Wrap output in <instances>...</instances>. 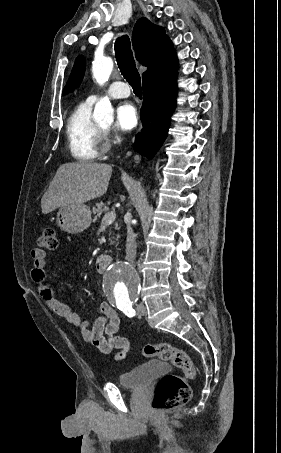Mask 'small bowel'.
Here are the masks:
<instances>
[{
  "mask_svg": "<svg viewBox=\"0 0 281 453\" xmlns=\"http://www.w3.org/2000/svg\"><path fill=\"white\" fill-rule=\"evenodd\" d=\"M33 266L30 270V279L38 289L39 295L47 305L64 320L75 326L82 334L84 341L101 352L109 355L113 350H118L115 360H123L129 350V341L117 335L120 317L108 302L100 306L102 316L92 324L82 321L69 306L61 303L47 284V257L42 250L31 252Z\"/></svg>",
  "mask_w": 281,
  "mask_h": 453,
  "instance_id": "1",
  "label": "small bowel"
}]
</instances>
